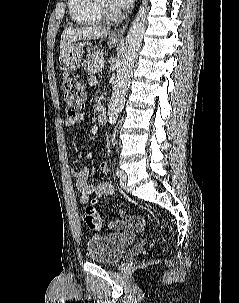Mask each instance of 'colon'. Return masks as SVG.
Wrapping results in <instances>:
<instances>
[{"label":"colon","instance_id":"obj_1","mask_svg":"<svg viewBox=\"0 0 239 303\" xmlns=\"http://www.w3.org/2000/svg\"><path fill=\"white\" fill-rule=\"evenodd\" d=\"M62 93L67 115L69 117L78 116L86 104V93L81 82L72 76L66 75L62 82ZM97 203L96 199L92 200L85 211L86 225L94 231L100 230L102 227L101 217L96 210Z\"/></svg>","mask_w":239,"mask_h":303}]
</instances>
